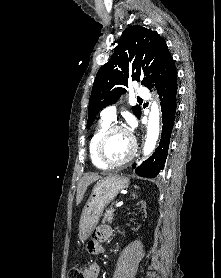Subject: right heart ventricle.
<instances>
[{"label": "right heart ventricle", "instance_id": "obj_1", "mask_svg": "<svg viewBox=\"0 0 221 278\" xmlns=\"http://www.w3.org/2000/svg\"><path fill=\"white\" fill-rule=\"evenodd\" d=\"M110 125L109 121H106L104 119H102L98 125L96 126L90 140H89V144H88V151H89V156L91 159V162L93 163L94 166H96L97 168H107L106 166H104L97 158L96 156V143L97 140L99 138V136L101 135V133Z\"/></svg>", "mask_w": 221, "mask_h": 278}]
</instances>
